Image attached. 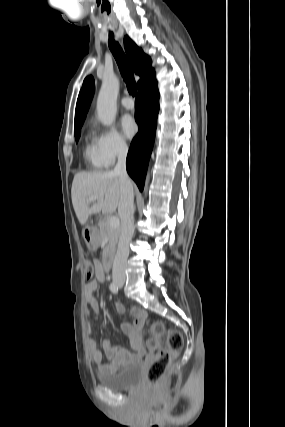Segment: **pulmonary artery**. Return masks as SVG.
Here are the masks:
<instances>
[{"label":"pulmonary artery","mask_w":285,"mask_h":427,"mask_svg":"<svg viewBox=\"0 0 285 427\" xmlns=\"http://www.w3.org/2000/svg\"><path fill=\"white\" fill-rule=\"evenodd\" d=\"M122 106L126 109H133L135 104L134 101L130 97H125L121 101Z\"/></svg>","instance_id":"pulmonary-artery-1"}]
</instances>
